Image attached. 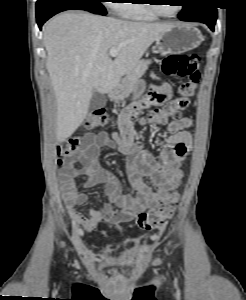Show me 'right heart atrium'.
<instances>
[{
	"instance_id": "d8ad5b80",
	"label": "right heart atrium",
	"mask_w": 246,
	"mask_h": 300,
	"mask_svg": "<svg viewBox=\"0 0 246 300\" xmlns=\"http://www.w3.org/2000/svg\"><path fill=\"white\" fill-rule=\"evenodd\" d=\"M111 2H115V1H114V0H111ZM109 5H110L111 7H113V8L115 7V4H114V3H110Z\"/></svg>"
}]
</instances>
